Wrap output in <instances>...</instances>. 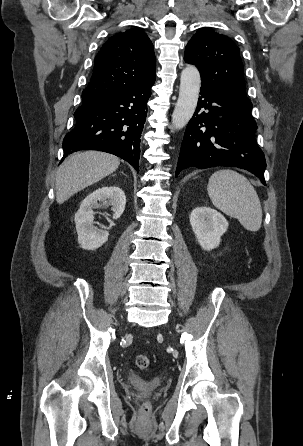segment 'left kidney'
Wrapping results in <instances>:
<instances>
[{
	"label": "left kidney",
	"instance_id": "left-kidney-1",
	"mask_svg": "<svg viewBox=\"0 0 303 446\" xmlns=\"http://www.w3.org/2000/svg\"><path fill=\"white\" fill-rule=\"evenodd\" d=\"M189 219L202 249L210 251L219 246L221 236L228 229V222L220 212L207 206L196 207Z\"/></svg>",
	"mask_w": 303,
	"mask_h": 446
}]
</instances>
